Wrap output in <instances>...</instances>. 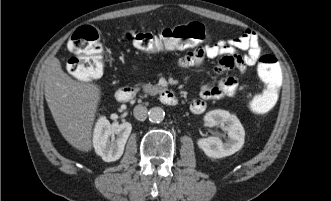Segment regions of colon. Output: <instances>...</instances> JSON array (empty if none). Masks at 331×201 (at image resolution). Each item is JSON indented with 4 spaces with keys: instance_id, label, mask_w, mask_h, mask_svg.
Segmentation results:
<instances>
[{
    "instance_id": "colon-1",
    "label": "colon",
    "mask_w": 331,
    "mask_h": 201,
    "mask_svg": "<svg viewBox=\"0 0 331 201\" xmlns=\"http://www.w3.org/2000/svg\"><path fill=\"white\" fill-rule=\"evenodd\" d=\"M209 38V29L198 22L155 32L130 31L125 34L127 41L146 53L194 48L207 42ZM69 49L75 54L68 61V70L72 76L81 81H90L102 75L103 48L94 27L78 28L69 41ZM257 65L263 88L259 93L252 95L247 103L253 113L261 115L276 105L284 73L279 60L271 54L261 55Z\"/></svg>"
}]
</instances>
